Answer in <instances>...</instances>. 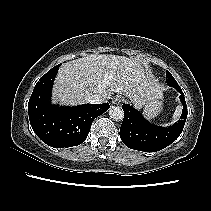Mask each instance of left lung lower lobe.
Masks as SVG:
<instances>
[{"label": "left lung lower lobe", "instance_id": "left-lung-lower-lobe-1", "mask_svg": "<svg viewBox=\"0 0 211 211\" xmlns=\"http://www.w3.org/2000/svg\"><path fill=\"white\" fill-rule=\"evenodd\" d=\"M174 88L180 93L183 110L180 120L169 127L151 124L133 107L123 104L124 119L120 127V138L127 147L144 152H156L179 137L187 118V105L180 86L177 84Z\"/></svg>", "mask_w": 211, "mask_h": 211}]
</instances>
